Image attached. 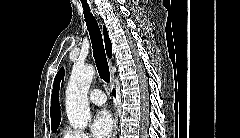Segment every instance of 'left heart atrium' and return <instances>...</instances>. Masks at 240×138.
<instances>
[{"mask_svg": "<svg viewBox=\"0 0 240 138\" xmlns=\"http://www.w3.org/2000/svg\"><path fill=\"white\" fill-rule=\"evenodd\" d=\"M113 130V120L109 112L99 110L91 123V132L96 138H108Z\"/></svg>", "mask_w": 240, "mask_h": 138, "instance_id": "left-heart-atrium-1", "label": "left heart atrium"}]
</instances>
